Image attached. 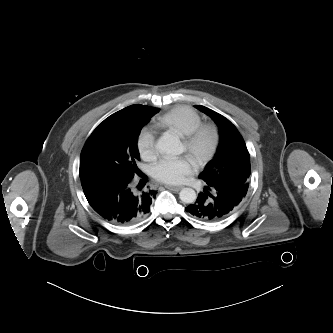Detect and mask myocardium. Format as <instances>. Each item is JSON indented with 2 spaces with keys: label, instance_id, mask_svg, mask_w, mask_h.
I'll return each instance as SVG.
<instances>
[{
  "label": "myocardium",
  "instance_id": "f54148a6",
  "mask_svg": "<svg viewBox=\"0 0 333 333\" xmlns=\"http://www.w3.org/2000/svg\"><path fill=\"white\" fill-rule=\"evenodd\" d=\"M183 142L195 164L204 167L218 152L221 142L220 129L215 123H202L184 136Z\"/></svg>",
  "mask_w": 333,
  "mask_h": 333
}]
</instances>
